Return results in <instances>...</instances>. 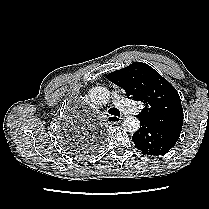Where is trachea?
Here are the masks:
<instances>
[{
  "instance_id": "trachea-1",
  "label": "trachea",
  "mask_w": 209,
  "mask_h": 209,
  "mask_svg": "<svg viewBox=\"0 0 209 209\" xmlns=\"http://www.w3.org/2000/svg\"><path fill=\"white\" fill-rule=\"evenodd\" d=\"M108 113L114 116H120V111L117 108H110Z\"/></svg>"
}]
</instances>
